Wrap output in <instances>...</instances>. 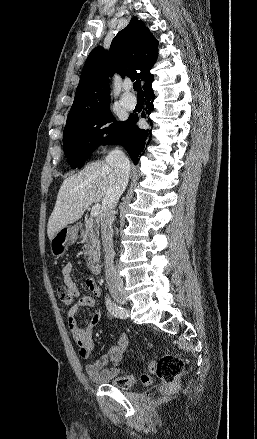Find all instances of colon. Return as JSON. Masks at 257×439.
<instances>
[{
	"label": "colon",
	"instance_id": "obj_1",
	"mask_svg": "<svg viewBox=\"0 0 257 439\" xmlns=\"http://www.w3.org/2000/svg\"><path fill=\"white\" fill-rule=\"evenodd\" d=\"M58 297L65 306H71L76 298L75 294L65 285H61L57 289ZM185 363L183 359L177 355H166L158 361H150L149 369L155 373L162 382L161 392L169 394L175 391L179 385V377L183 372ZM143 383L149 382L146 374L141 376ZM135 382L133 375L119 372L114 383L122 389L130 388Z\"/></svg>",
	"mask_w": 257,
	"mask_h": 439
}]
</instances>
